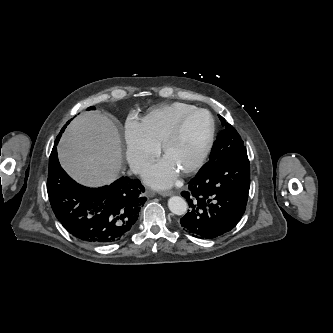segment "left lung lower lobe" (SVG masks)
<instances>
[{
	"label": "left lung lower lobe",
	"mask_w": 333,
	"mask_h": 333,
	"mask_svg": "<svg viewBox=\"0 0 333 333\" xmlns=\"http://www.w3.org/2000/svg\"><path fill=\"white\" fill-rule=\"evenodd\" d=\"M222 131L217 139H225ZM250 188V164L246 154L225 161H209L189 181L181 195L190 210L180 227L193 237L212 239L231 231L241 220Z\"/></svg>",
	"instance_id": "0a47b994"
}]
</instances>
